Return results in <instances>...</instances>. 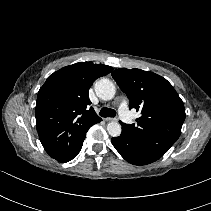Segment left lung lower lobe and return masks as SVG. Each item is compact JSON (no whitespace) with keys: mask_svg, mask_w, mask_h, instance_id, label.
<instances>
[{"mask_svg":"<svg viewBox=\"0 0 211 211\" xmlns=\"http://www.w3.org/2000/svg\"><path fill=\"white\" fill-rule=\"evenodd\" d=\"M111 142L121 156L131 164L147 165L159 159L134 138L123 125L121 135L113 137Z\"/></svg>","mask_w":211,"mask_h":211,"instance_id":"1","label":"left lung lower lobe"}]
</instances>
